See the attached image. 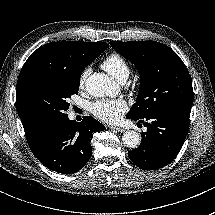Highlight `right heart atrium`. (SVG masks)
Instances as JSON below:
<instances>
[{"instance_id":"right-heart-atrium-1","label":"right heart atrium","mask_w":215,"mask_h":215,"mask_svg":"<svg viewBox=\"0 0 215 215\" xmlns=\"http://www.w3.org/2000/svg\"><path fill=\"white\" fill-rule=\"evenodd\" d=\"M89 74H90L89 68H86L81 72L79 79H78V89L79 90L84 89L85 83H86V80H87V77Z\"/></svg>"}]
</instances>
